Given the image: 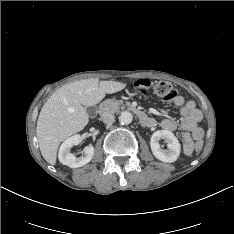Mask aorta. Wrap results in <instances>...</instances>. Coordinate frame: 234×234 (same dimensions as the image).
<instances>
[{
	"label": "aorta",
	"mask_w": 234,
	"mask_h": 234,
	"mask_svg": "<svg viewBox=\"0 0 234 234\" xmlns=\"http://www.w3.org/2000/svg\"><path fill=\"white\" fill-rule=\"evenodd\" d=\"M133 120V116L129 111L121 112L119 116V121L121 124H130Z\"/></svg>",
	"instance_id": "762f6f07"
}]
</instances>
